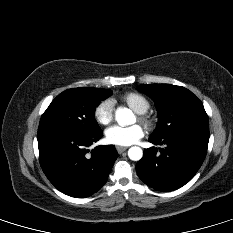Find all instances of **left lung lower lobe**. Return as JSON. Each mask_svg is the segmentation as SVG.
Returning a JSON list of instances; mask_svg holds the SVG:
<instances>
[{
  "instance_id": "1",
  "label": "left lung lower lobe",
  "mask_w": 233,
  "mask_h": 233,
  "mask_svg": "<svg viewBox=\"0 0 233 233\" xmlns=\"http://www.w3.org/2000/svg\"><path fill=\"white\" fill-rule=\"evenodd\" d=\"M154 145L144 151L137 163L139 178L162 192L176 190L188 183L202 165L209 142V131L191 130L162 139L149 138Z\"/></svg>"
}]
</instances>
